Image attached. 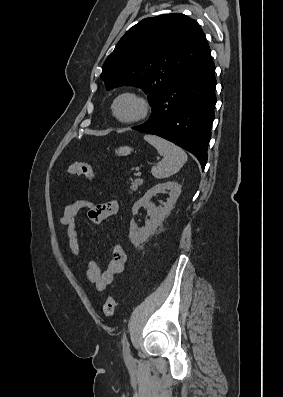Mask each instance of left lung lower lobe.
I'll return each instance as SVG.
<instances>
[{
  "instance_id": "left-lung-lower-lobe-1",
  "label": "left lung lower lobe",
  "mask_w": 283,
  "mask_h": 397,
  "mask_svg": "<svg viewBox=\"0 0 283 397\" xmlns=\"http://www.w3.org/2000/svg\"><path fill=\"white\" fill-rule=\"evenodd\" d=\"M216 79L211 52L186 71L132 129L160 136L192 153L204 169L214 120Z\"/></svg>"
}]
</instances>
